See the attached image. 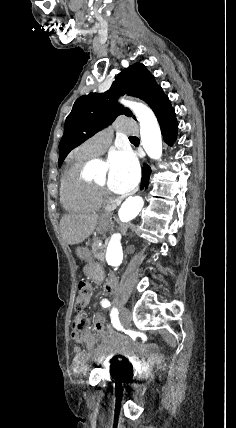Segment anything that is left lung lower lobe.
<instances>
[{
	"label": "left lung lower lobe",
	"instance_id": "left-lung-lower-lobe-1",
	"mask_svg": "<svg viewBox=\"0 0 236 428\" xmlns=\"http://www.w3.org/2000/svg\"><path fill=\"white\" fill-rule=\"evenodd\" d=\"M156 116L158 118V122L161 128V133L163 135L164 141L171 146L176 140L177 129H178V123L176 120L175 111L172 108L171 104L169 103L163 108H161L156 113ZM150 173H151L150 167L147 165H144L143 177H142V183H141L142 188L144 186L147 187L149 183Z\"/></svg>",
	"mask_w": 236,
	"mask_h": 428
}]
</instances>
